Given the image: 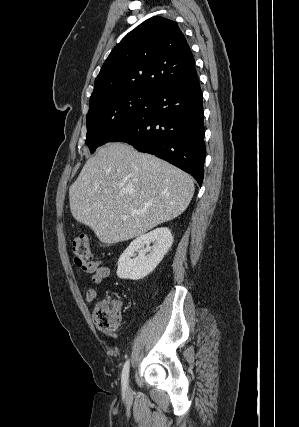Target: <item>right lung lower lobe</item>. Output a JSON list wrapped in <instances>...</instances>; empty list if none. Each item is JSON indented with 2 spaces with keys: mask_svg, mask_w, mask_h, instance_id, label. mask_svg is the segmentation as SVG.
<instances>
[{
  "mask_svg": "<svg viewBox=\"0 0 299 427\" xmlns=\"http://www.w3.org/2000/svg\"><path fill=\"white\" fill-rule=\"evenodd\" d=\"M202 91L197 77L159 89L129 128L109 142H125L192 175L201 186L205 143Z\"/></svg>",
  "mask_w": 299,
  "mask_h": 427,
  "instance_id": "right-lung-lower-lobe-1",
  "label": "right lung lower lobe"
}]
</instances>
